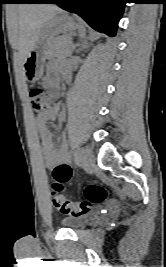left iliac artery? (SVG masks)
<instances>
[{
	"label": "left iliac artery",
	"instance_id": "obj_1",
	"mask_svg": "<svg viewBox=\"0 0 166 267\" xmlns=\"http://www.w3.org/2000/svg\"><path fill=\"white\" fill-rule=\"evenodd\" d=\"M74 159L77 165H79L80 161H81V154L78 150L74 151Z\"/></svg>",
	"mask_w": 166,
	"mask_h": 267
}]
</instances>
